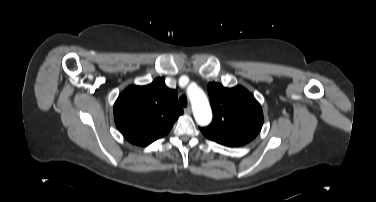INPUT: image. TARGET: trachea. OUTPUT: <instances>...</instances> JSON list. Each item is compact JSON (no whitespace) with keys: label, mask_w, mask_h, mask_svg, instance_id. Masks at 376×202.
<instances>
[{"label":"trachea","mask_w":376,"mask_h":202,"mask_svg":"<svg viewBox=\"0 0 376 202\" xmlns=\"http://www.w3.org/2000/svg\"><path fill=\"white\" fill-rule=\"evenodd\" d=\"M187 97L186 95H182L180 98H179V104L182 106V107H186L187 106Z\"/></svg>","instance_id":"obj_1"}]
</instances>
